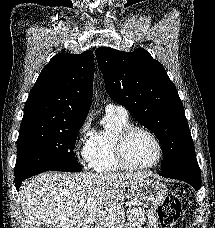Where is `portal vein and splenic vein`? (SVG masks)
Instances as JSON below:
<instances>
[{
  "label": "portal vein and splenic vein",
  "mask_w": 215,
  "mask_h": 228,
  "mask_svg": "<svg viewBox=\"0 0 215 228\" xmlns=\"http://www.w3.org/2000/svg\"><path fill=\"white\" fill-rule=\"evenodd\" d=\"M87 204H88V206H91V208H93V206H96L95 200H91V198H90V200H88Z\"/></svg>",
  "instance_id": "1"
}]
</instances>
